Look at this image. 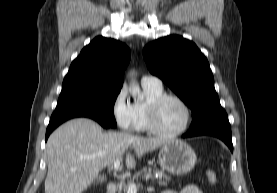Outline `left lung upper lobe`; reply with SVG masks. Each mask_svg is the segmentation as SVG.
Returning a JSON list of instances; mask_svg holds the SVG:
<instances>
[{
  "instance_id": "obj_1",
  "label": "left lung upper lobe",
  "mask_w": 277,
  "mask_h": 193,
  "mask_svg": "<svg viewBox=\"0 0 277 193\" xmlns=\"http://www.w3.org/2000/svg\"><path fill=\"white\" fill-rule=\"evenodd\" d=\"M143 57L150 72L192 110L190 129L226 114L215 91L209 63L193 42L178 35L163 37L148 44Z\"/></svg>"
}]
</instances>
